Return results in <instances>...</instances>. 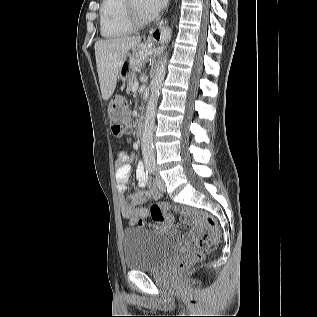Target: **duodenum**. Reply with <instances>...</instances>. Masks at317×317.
<instances>
[{"instance_id":"1","label":"duodenum","mask_w":317,"mask_h":317,"mask_svg":"<svg viewBox=\"0 0 317 317\" xmlns=\"http://www.w3.org/2000/svg\"><path fill=\"white\" fill-rule=\"evenodd\" d=\"M138 134H139V137H144V132H142V129L140 126L138 127Z\"/></svg>"}]
</instances>
